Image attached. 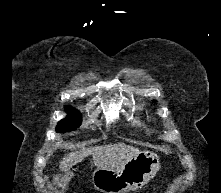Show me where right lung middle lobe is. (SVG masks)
Instances as JSON below:
<instances>
[{
    "label": "right lung middle lobe",
    "instance_id": "obj_1",
    "mask_svg": "<svg viewBox=\"0 0 221 193\" xmlns=\"http://www.w3.org/2000/svg\"><path fill=\"white\" fill-rule=\"evenodd\" d=\"M66 111L69 113L64 119L58 122L56 132L71 131L76 129L81 122L78 111L72 107H67Z\"/></svg>",
    "mask_w": 221,
    "mask_h": 193
}]
</instances>
